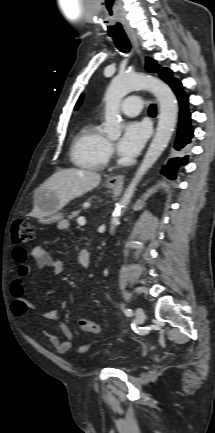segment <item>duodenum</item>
<instances>
[{"label": "duodenum", "instance_id": "410a0bca", "mask_svg": "<svg viewBox=\"0 0 215 433\" xmlns=\"http://www.w3.org/2000/svg\"><path fill=\"white\" fill-rule=\"evenodd\" d=\"M79 263L84 267V268H89L90 267V252L87 250H81L79 253Z\"/></svg>", "mask_w": 215, "mask_h": 433}]
</instances>
